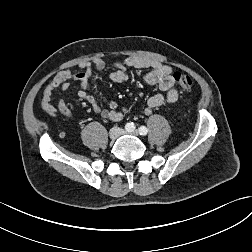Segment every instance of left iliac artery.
Masks as SVG:
<instances>
[{"label": "left iliac artery", "instance_id": "left-iliac-artery-1", "mask_svg": "<svg viewBox=\"0 0 252 252\" xmlns=\"http://www.w3.org/2000/svg\"><path fill=\"white\" fill-rule=\"evenodd\" d=\"M140 135H146L148 133V129L145 126H141L139 128Z\"/></svg>", "mask_w": 252, "mask_h": 252}]
</instances>
